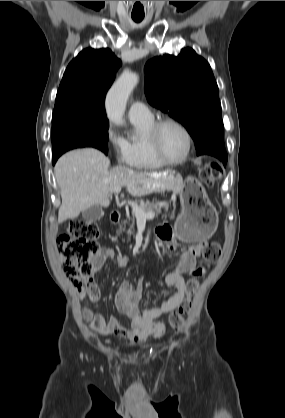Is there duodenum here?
Instances as JSON below:
<instances>
[{"label":"duodenum","instance_id":"duodenum-1","mask_svg":"<svg viewBox=\"0 0 285 418\" xmlns=\"http://www.w3.org/2000/svg\"><path fill=\"white\" fill-rule=\"evenodd\" d=\"M121 212L119 210H113L111 212V220L113 223H118L121 220Z\"/></svg>","mask_w":285,"mask_h":418}]
</instances>
